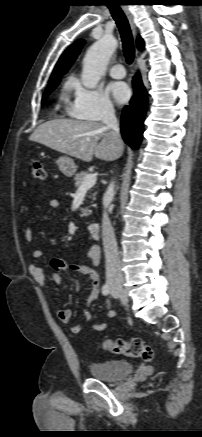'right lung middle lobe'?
<instances>
[{
	"label": "right lung middle lobe",
	"mask_w": 202,
	"mask_h": 437,
	"mask_svg": "<svg viewBox=\"0 0 202 437\" xmlns=\"http://www.w3.org/2000/svg\"><path fill=\"white\" fill-rule=\"evenodd\" d=\"M59 82H60V80L50 82V84L48 85V87L43 95L42 103L46 100L47 96L57 87Z\"/></svg>",
	"instance_id": "dd1d6c3e"
}]
</instances>
